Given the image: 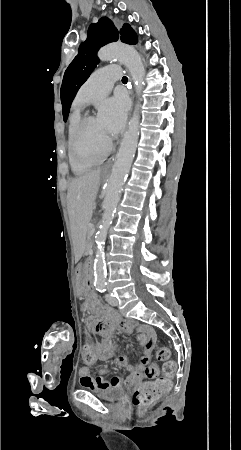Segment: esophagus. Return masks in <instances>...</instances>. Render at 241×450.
<instances>
[{
	"label": "esophagus",
	"instance_id": "obj_1",
	"mask_svg": "<svg viewBox=\"0 0 241 450\" xmlns=\"http://www.w3.org/2000/svg\"><path fill=\"white\" fill-rule=\"evenodd\" d=\"M112 162H113V157L106 162L104 168L107 169L108 167H110L112 165Z\"/></svg>",
	"mask_w": 241,
	"mask_h": 450
}]
</instances>
